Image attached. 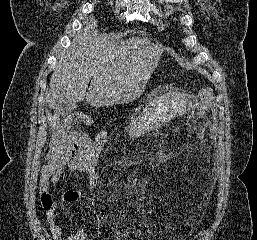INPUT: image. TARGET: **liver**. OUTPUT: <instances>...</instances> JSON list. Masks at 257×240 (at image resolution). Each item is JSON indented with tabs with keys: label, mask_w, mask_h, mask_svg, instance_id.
Masks as SVG:
<instances>
[{
	"label": "liver",
	"mask_w": 257,
	"mask_h": 240,
	"mask_svg": "<svg viewBox=\"0 0 257 240\" xmlns=\"http://www.w3.org/2000/svg\"><path fill=\"white\" fill-rule=\"evenodd\" d=\"M96 22L89 17L59 57L46 97L49 108L55 107L61 93L74 103L85 98L96 108L127 103L140 95L143 80L158 61V45L139 38L110 41L93 32Z\"/></svg>",
	"instance_id": "liver-1"
}]
</instances>
